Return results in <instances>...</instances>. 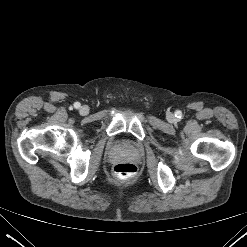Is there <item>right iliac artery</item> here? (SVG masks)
I'll return each instance as SVG.
<instances>
[{
  "mask_svg": "<svg viewBox=\"0 0 247 247\" xmlns=\"http://www.w3.org/2000/svg\"><path fill=\"white\" fill-rule=\"evenodd\" d=\"M74 107L78 109L80 107V103L79 102L74 103Z\"/></svg>",
  "mask_w": 247,
  "mask_h": 247,
  "instance_id": "1",
  "label": "right iliac artery"
}]
</instances>
